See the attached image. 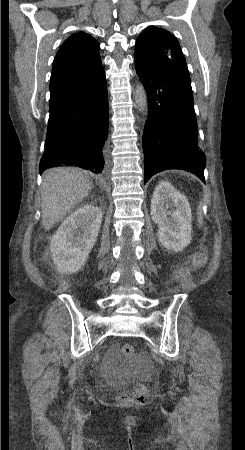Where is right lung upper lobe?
Listing matches in <instances>:
<instances>
[{
	"label": "right lung upper lobe",
	"mask_w": 245,
	"mask_h": 450,
	"mask_svg": "<svg viewBox=\"0 0 245 450\" xmlns=\"http://www.w3.org/2000/svg\"><path fill=\"white\" fill-rule=\"evenodd\" d=\"M102 67L97 40L85 33L69 37L53 62L50 102L85 82Z\"/></svg>",
	"instance_id": "obj_1"
}]
</instances>
